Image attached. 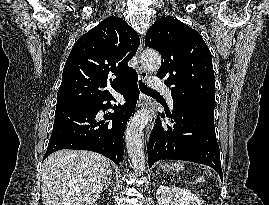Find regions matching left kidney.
<instances>
[{
    "label": "left kidney",
    "mask_w": 269,
    "mask_h": 205,
    "mask_svg": "<svg viewBox=\"0 0 269 205\" xmlns=\"http://www.w3.org/2000/svg\"><path fill=\"white\" fill-rule=\"evenodd\" d=\"M156 198L159 205H173V200H176V205H202L201 200L191 191L173 186H159Z\"/></svg>",
    "instance_id": "left-kidney-1"
}]
</instances>
